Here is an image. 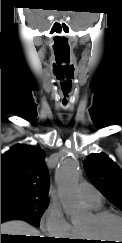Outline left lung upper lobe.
Segmentation results:
<instances>
[{
	"label": "left lung upper lobe",
	"mask_w": 122,
	"mask_h": 243,
	"mask_svg": "<svg viewBox=\"0 0 122 243\" xmlns=\"http://www.w3.org/2000/svg\"><path fill=\"white\" fill-rule=\"evenodd\" d=\"M85 172L94 186L122 210V170L106 154H90L83 161Z\"/></svg>",
	"instance_id": "5c2ea615"
}]
</instances>
